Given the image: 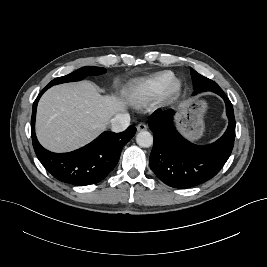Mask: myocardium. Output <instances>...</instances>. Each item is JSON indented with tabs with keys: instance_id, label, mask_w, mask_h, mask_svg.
Listing matches in <instances>:
<instances>
[{
	"instance_id": "myocardium-1",
	"label": "myocardium",
	"mask_w": 267,
	"mask_h": 267,
	"mask_svg": "<svg viewBox=\"0 0 267 267\" xmlns=\"http://www.w3.org/2000/svg\"><path fill=\"white\" fill-rule=\"evenodd\" d=\"M181 90H182L181 82L178 79H174L165 88L164 92L161 95V98L164 101L173 100L181 93Z\"/></svg>"
}]
</instances>
